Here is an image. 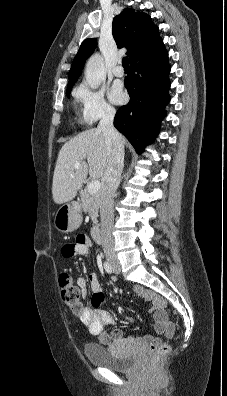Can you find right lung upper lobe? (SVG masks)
I'll use <instances>...</instances> for the list:
<instances>
[{"instance_id": "obj_1", "label": "right lung upper lobe", "mask_w": 227, "mask_h": 396, "mask_svg": "<svg viewBox=\"0 0 227 396\" xmlns=\"http://www.w3.org/2000/svg\"><path fill=\"white\" fill-rule=\"evenodd\" d=\"M113 37L118 48L126 47L130 61L142 50L161 40L159 29L151 21V17L143 12L126 8L113 20ZM97 40L86 39L80 46L69 71L67 91L72 89L84 67L85 61L96 48Z\"/></svg>"}]
</instances>
